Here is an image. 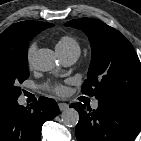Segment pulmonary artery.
Instances as JSON below:
<instances>
[{
    "label": "pulmonary artery",
    "instance_id": "1",
    "mask_svg": "<svg viewBox=\"0 0 141 141\" xmlns=\"http://www.w3.org/2000/svg\"><path fill=\"white\" fill-rule=\"evenodd\" d=\"M60 56H61L63 63L69 66L76 62L79 54L74 53V54H66V55H60ZM97 107H98V101H94L92 103V108L96 109Z\"/></svg>",
    "mask_w": 141,
    "mask_h": 141
}]
</instances>
